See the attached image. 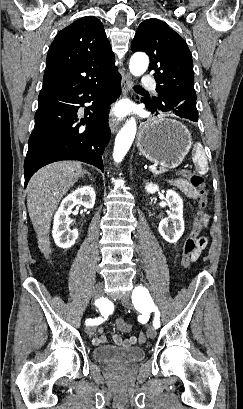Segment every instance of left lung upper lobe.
<instances>
[{
  "label": "left lung upper lobe",
  "mask_w": 243,
  "mask_h": 409,
  "mask_svg": "<svg viewBox=\"0 0 243 409\" xmlns=\"http://www.w3.org/2000/svg\"><path fill=\"white\" fill-rule=\"evenodd\" d=\"M131 49L150 57L149 71L154 72L159 93L152 101L167 96L196 107L192 56L179 34L161 20L147 19L139 25Z\"/></svg>",
  "instance_id": "obj_1"
}]
</instances>
